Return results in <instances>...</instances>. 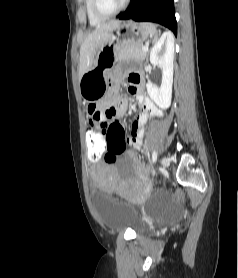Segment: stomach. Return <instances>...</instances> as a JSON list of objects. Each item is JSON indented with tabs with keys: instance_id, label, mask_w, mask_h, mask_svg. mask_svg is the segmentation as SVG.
<instances>
[{
	"instance_id": "1",
	"label": "stomach",
	"mask_w": 238,
	"mask_h": 278,
	"mask_svg": "<svg viewBox=\"0 0 238 278\" xmlns=\"http://www.w3.org/2000/svg\"><path fill=\"white\" fill-rule=\"evenodd\" d=\"M149 29L141 23L127 21L111 32L109 42L97 53L94 65L79 81L80 94L84 100L95 102L108 87V73L117 61V52L125 45L142 44L149 36Z\"/></svg>"
}]
</instances>
